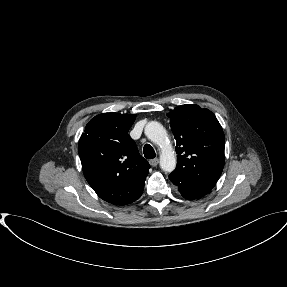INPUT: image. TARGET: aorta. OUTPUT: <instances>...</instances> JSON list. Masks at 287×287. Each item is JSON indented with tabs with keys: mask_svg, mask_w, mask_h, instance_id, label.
<instances>
[{
	"mask_svg": "<svg viewBox=\"0 0 287 287\" xmlns=\"http://www.w3.org/2000/svg\"><path fill=\"white\" fill-rule=\"evenodd\" d=\"M144 132L149 140L161 148V169L166 172H172L176 167V157L163 125L157 121H150L146 124Z\"/></svg>",
	"mask_w": 287,
	"mask_h": 287,
	"instance_id": "obj_1",
	"label": "aorta"
}]
</instances>
